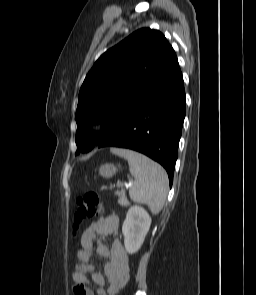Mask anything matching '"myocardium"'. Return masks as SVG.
I'll return each instance as SVG.
<instances>
[{"instance_id":"1","label":"myocardium","mask_w":256,"mask_h":295,"mask_svg":"<svg viewBox=\"0 0 256 295\" xmlns=\"http://www.w3.org/2000/svg\"><path fill=\"white\" fill-rule=\"evenodd\" d=\"M103 127H104V122L102 120H100V119L93 121L92 124H91V129L93 131H99Z\"/></svg>"}]
</instances>
